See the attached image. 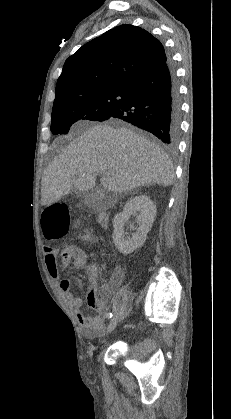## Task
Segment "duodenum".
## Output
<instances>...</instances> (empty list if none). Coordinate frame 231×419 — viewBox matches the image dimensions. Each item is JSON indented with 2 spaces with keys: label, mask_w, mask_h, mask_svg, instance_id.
<instances>
[{
  "label": "duodenum",
  "mask_w": 231,
  "mask_h": 419,
  "mask_svg": "<svg viewBox=\"0 0 231 419\" xmlns=\"http://www.w3.org/2000/svg\"><path fill=\"white\" fill-rule=\"evenodd\" d=\"M97 215H98V220H99L100 224H106L107 223L106 212H104L103 210H100Z\"/></svg>",
  "instance_id": "duodenum-1"
}]
</instances>
